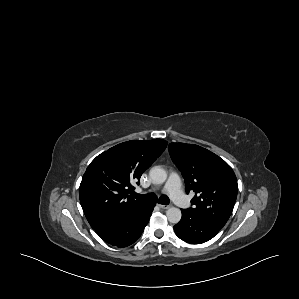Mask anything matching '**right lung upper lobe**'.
<instances>
[{
    "label": "right lung upper lobe",
    "mask_w": 299,
    "mask_h": 299,
    "mask_svg": "<svg viewBox=\"0 0 299 299\" xmlns=\"http://www.w3.org/2000/svg\"><path fill=\"white\" fill-rule=\"evenodd\" d=\"M162 139L136 140L118 144L97 156L83 175L79 197L84 214L94 229L118 220L147 204L128 194L133 183L167 146Z\"/></svg>",
    "instance_id": "right-lung-upper-lobe-1"
}]
</instances>
